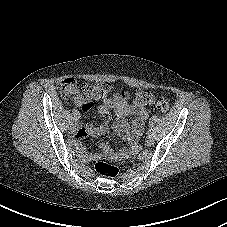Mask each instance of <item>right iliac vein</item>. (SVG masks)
<instances>
[{
	"instance_id": "right-iliac-vein-1",
	"label": "right iliac vein",
	"mask_w": 227,
	"mask_h": 227,
	"mask_svg": "<svg viewBox=\"0 0 227 227\" xmlns=\"http://www.w3.org/2000/svg\"><path fill=\"white\" fill-rule=\"evenodd\" d=\"M76 130H77V126L74 125V126L71 127V131H72L73 133L76 132Z\"/></svg>"
}]
</instances>
